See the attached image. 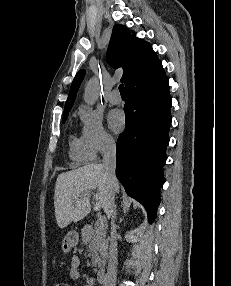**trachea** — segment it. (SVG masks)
I'll return each mask as SVG.
<instances>
[{
  "label": "trachea",
  "instance_id": "trachea-1",
  "mask_svg": "<svg viewBox=\"0 0 231 286\" xmlns=\"http://www.w3.org/2000/svg\"><path fill=\"white\" fill-rule=\"evenodd\" d=\"M119 91H120V94H121V95H125V94H126L125 88H124V85H123V84H120V85H119Z\"/></svg>",
  "mask_w": 231,
  "mask_h": 286
}]
</instances>
